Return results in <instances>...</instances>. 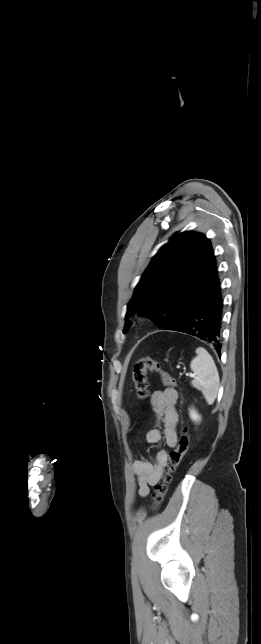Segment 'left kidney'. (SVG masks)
<instances>
[{
  "label": "left kidney",
  "instance_id": "left-kidney-1",
  "mask_svg": "<svg viewBox=\"0 0 261 644\" xmlns=\"http://www.w3.org/2000/svg\"><path fill=\"white\" fill-rule=\"evenodd\" d=\"M190 418L195 422H198L201 420L200 415H198L197 411L194 409L190 410Z\"/></svg>",
  "mask_w": 261,
  "mask_h": 644
}]
</instances>
